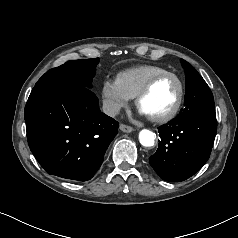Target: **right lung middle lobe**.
<instances>
[{
	"label": "right lung middle lobe",
	"instance_id": "1",
	"mask_svg": "<svg viewBox=\"0 0 238 238\" xmlns=\"http://www.w3.org/2000/svg\"><path fill=\"white\" fill-rule=\"evenodd\" d=\"M98 62L99 58L68 61L46 72L35 84V87L77 83L90 88Z\"/></svg>",
	"mask_w": 238,
	"mask_h": 238
}]
</instances>
